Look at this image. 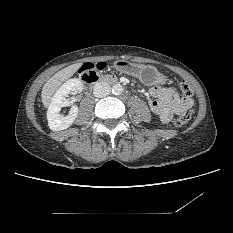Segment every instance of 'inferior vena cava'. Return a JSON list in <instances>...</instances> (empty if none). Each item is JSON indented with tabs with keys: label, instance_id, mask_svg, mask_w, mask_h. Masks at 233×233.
<instances>
[{
	"label": "inferior vena cava",
	"instance_id": "602c4592",
	"mask_svg": "<svg viewBox=\"0 0 233 233\" xmlns=\"http://www.w3.org/2000/svg\"><path fill=\"white\" fill-rule=\"evenodd\" d=\"M111 93V87L105 82H99L94 86L93 94L95 97H105Z\"/></svg>",
	"mask_w": 233,
	"mask_h": 233
}]
</instances>
